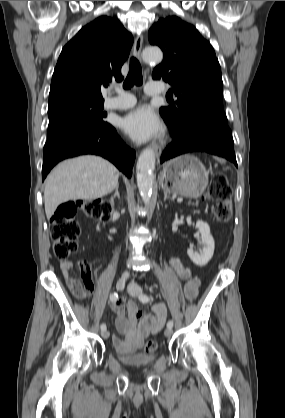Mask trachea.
<instances>
[{"instance_id":"trachea-1","label":"trachea","mask_w":285,"mask_h":418,"mask_svg":"<svg viewBox=\"0 0 285 418\" xmlns=\"http://www.w3.org/2000/svg\"><path fill=\"white\" fill-rule=\"evenodd\" d=\"M142 68L139 61L135 57H131L129 73L124 81L123 87L125 89H130L133 85H142Z\"/></svg>"}]
</instances>
